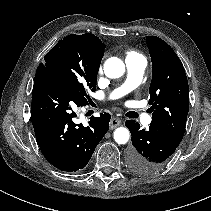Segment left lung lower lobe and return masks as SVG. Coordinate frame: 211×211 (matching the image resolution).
Wrapping results in <instances>:
<instances>
[{
    "label": "left lung lower lobe",
    "mask_w": 211,
    "mask_h": 211,
    "mask_svg": "<svg viewBox=\"0 0 211 211\" xmlns=\"http://www.w3.org/2000/svg\"><path fill=\"white\" fill-rule=\"evenodd\" d=\"M125 125L132 136V147L128 150L130 169L143 176L159 172L179 145L151 126L147 130L140 129L134 120H127Z\"/></svg>",
    "instance_id": "0a47b994"
}]
</instances>
